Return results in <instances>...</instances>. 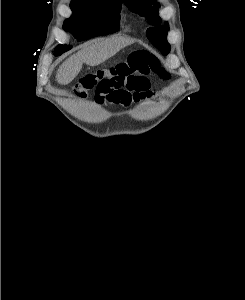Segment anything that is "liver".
I'll return each instance as SVG.
<instances>
[{
	"instance_id": "liver-1",
	"label": "liver",
	"mask_w": 245,
	"mask_h": 300,
	"mask_svg": "<svg viewBox=\"0 0 245 300\" xmlns=\"http://www.w3.org/2000/svg\"><path fill=\"white\" fill-rule=\"evenodd\" d=\"M132 43L133 40L118 36L90 42L62 63L56 75L58 83L69 84L78 75L83 63L89 66L99 65Z\"/></svg>"
}]
</instances>
